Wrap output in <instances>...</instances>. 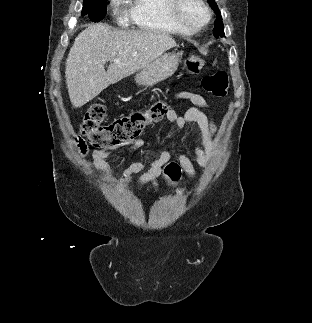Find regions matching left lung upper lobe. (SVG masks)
Segmentation results:
<instances>
[{
  "mask_svg": "<svg viewBox=\"0 0 312 323\" xmlns=\"http://www.w3.org/2000/svg\"><path fill=\"white\" fill-rule=\"evenodd\" d=\"M208 3L210 7L214 10V12L219 15L217 20L215 21L216 26L214 28L213 34L215 37H224L225 36L224 26H223L222 17H221L219 8L215 0H208Z\"/></svg>",
  "mask_w": 312,
  "mask_h": 323,
  "instance_id": "1",
  "label": "left lung upper lobe"
}]
</instances>
